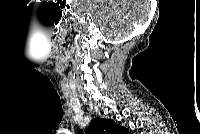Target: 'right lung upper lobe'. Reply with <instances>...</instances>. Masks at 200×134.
<instances>
[{"label": "right lung upper lobe", "mask_w": 200, "mask_h": 134, "mask_svg": "<svg viewBox=\"0 0 200 134\" xmlns=\"http://www.w3.org/2000/svg\"><path fill=\"white\" fill-rule=\"evenodd\" d=\"M128 129L109 119L98 118L91 122L86 134H125Z\"/></svg>", "instance_id": "right-lung-upper-lobe-1"}]
</instances>
